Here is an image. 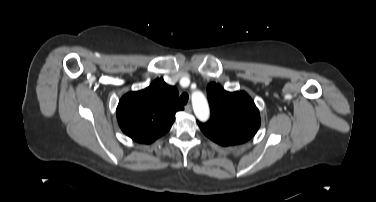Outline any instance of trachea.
Listing matches in <instances>:
<instances>
[{
	"label": "trachea",
	"instance_id": "obj_1",
	"mask_svg": "<svg viewBox=\"0 0 376 202\" xmlns=\"http://www.w3.org/2000/svg\"><path fill=\"white\" fill-rule=\"evenodd\" d=\"M188 99H189V95L187 93H183L180 96L179 101H180L181 104L186 105L187 102H188Z\"/></svg>",
	"mask_w": 376,
	"mask_h": 202
}]
</instances>
